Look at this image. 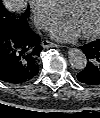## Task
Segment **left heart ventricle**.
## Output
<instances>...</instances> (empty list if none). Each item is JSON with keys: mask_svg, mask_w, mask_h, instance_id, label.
<instances>
[{"mask_svg": "<svg viewBox=\"0 0 100 118\" xmlns=\"http://www.w3.org/2000/svg\"><path fill=\"white\" fill-rule=\"evenodd\" d=\"M100 9V0H84V2L68 14V18L73 21L79 30L88 32L97 23Z\"/></svg>", "mask_w": 100, "mask_h": 118, "instance_id": "obj_1", "label": "left heart ventricle"}]
</instances>
